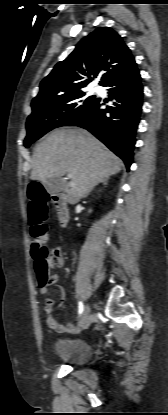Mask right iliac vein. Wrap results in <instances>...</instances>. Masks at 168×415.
Instances as JSON below:
<instances>
[{
	"label": "right iliac vein",
	"instance_id": "right-iliac-vein-1",
	"mask_svg": "<svg viewBox=\"0 0 168 415\" xmlns=\"http://www.w3.org/2000/svg\"><path fill=\"white\" fill-rule=\"evenodd\" d=\"M89 316H90V306H89V304H87L85 306L83 314H82V316L79 320L78 328H82L87 324V322L89 320Z\"/></svg>",
	"mask_w": 168,
	"mask_h": 415
}]
</instances>
